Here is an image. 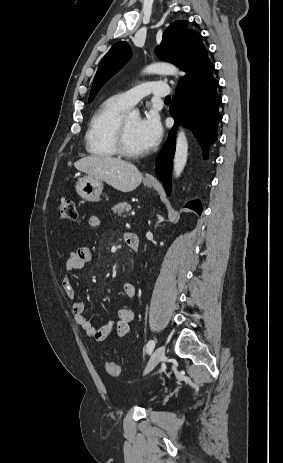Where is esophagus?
I'll list each match as a JSON object with an SVG mask.
<instances>
[{"label": "esophagus", "mask_w": 283, "mask_h": 463, "mask_svg": "<svg viewBox=\"0 0 283 463\" xmlns=\"http://www.w3.org/2000/svg\"><path fill=\"white\" fill-rule=\"evenodd\" d=\"M145 180L148 182H156V179L152 175H147Z\"/></svg>", "instance_id": "obj_1"}]
</instances>
